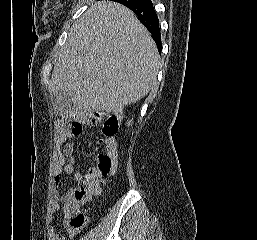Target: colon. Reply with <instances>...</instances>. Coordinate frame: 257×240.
I'll use <instances>...</instances> for the list:
<instances>
[{
  "mask_svg": "<svg viewBox=\"0 0 257 240\" xmlns=\"http://www.w3.org/2000/svg\"><path fill=\"white\" fill-rule=\"evenodd\" d=\"M91 121L101 128L100 142H105L107 139L113 137L118 130V119L112 113L95 112L91 116ZM70 128L74 132H80L83 127L80 123L74 122L70 125ZM114 171L115 159L105 151L96 153L91 169L79 185L72 190L65 203V215L68 219V226L71 229L80 231L85 227L87 218L80 211L79 206L97 194L105 180Z\"/></svg>",
  "mask_w": 257,
  "mask_h": 240,
  "instance_id": "obj_1",
  "label": "colon"
}]
</instances>
